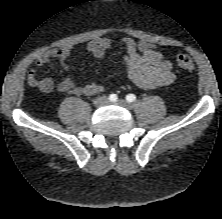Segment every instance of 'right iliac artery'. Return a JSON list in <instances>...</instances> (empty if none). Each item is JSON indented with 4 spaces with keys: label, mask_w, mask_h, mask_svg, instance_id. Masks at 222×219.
Listing matches in <instances>:
<instances>
[{
    "label": "right iliac artery",
    "mask_w": 222,
    "mask_h": 219,
    "mask_svg": "<svg viewBox=\"0 0 222 219\" xmlns=\"http://www.w3.org/2000/svg\"><path fill=\"white\" fill-rule=\"evenodd\" d=\"M117 99H118V97H117L116 94H111V95L109 96V100H110L111 102H115V101H117Z\"/></svg>",
    "instance_id": "1"
}]
</instances>
